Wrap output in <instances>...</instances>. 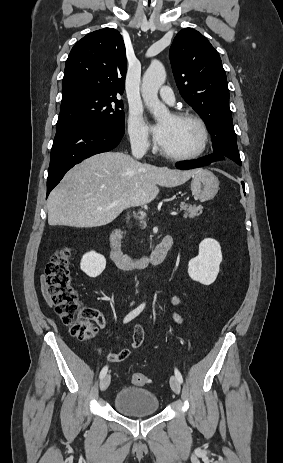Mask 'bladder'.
Returning a JSON list of instances; mask_svg holds the SVG:
<instances>
[{"mask_svg": "<svg viewBox=\"0 0 283 463\" xmlns=\"http://www.w3.org/2000/svg\"><path fill=\"white\" fill-rule=\"evenodd\" d=\"M113 405L125 416L144 417L158 413L160 401L145 388L125 386L115 394Z\"/></svg>", "mask_w": 283, "mask_h": 463, "instance_id": "bladder-1", "label": "bladder"}]
</instances>
